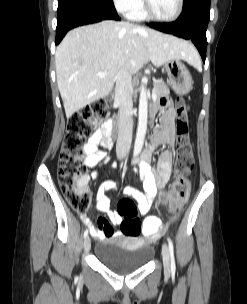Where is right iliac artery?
Segmentation results:
<instances>
[{"label":"right iliac artery","mask_w":247,"mask_h":304,"mask_svg":"<svg viewBox=\"0 0 247 304\" xmlns=\"http://www.w3.org/2000/svg\"><path fill=\"white\" fill-rule=\"evenodd\" d=\"M83 236H84V238H86L88 236V230H85Z\"/></svg>","instance_id":"82829eb1"}]
</instances>
